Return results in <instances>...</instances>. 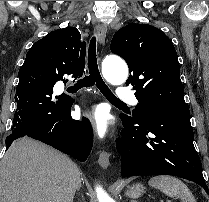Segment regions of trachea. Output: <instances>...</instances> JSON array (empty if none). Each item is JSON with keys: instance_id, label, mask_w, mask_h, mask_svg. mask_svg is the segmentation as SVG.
I'll return each instance as SVG.
<instances>
[{"instance_id": "3493384b", "label": "trachea", "mask_w": 209, "mask_h": 202, "mask_svg": "<svg viewBox=\"0 0 209 202\" xmlns=\"http://www.w3.org/2000/svg\"><path fill=\"white\" fill-rule=\"evenodd\" d=\"M87 60H88L89 75L82 79H79L76 85L79 88L82 87L87 88L96 85V87L100 90V92L106 97V99L110 103L124 104L122 101L116 98V96L111 92V90L108 88V86L105 84V82L101 77L97 64L95 37H92V39L90 40Z\"/></svg>"}]
</instances>
